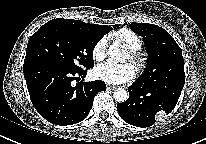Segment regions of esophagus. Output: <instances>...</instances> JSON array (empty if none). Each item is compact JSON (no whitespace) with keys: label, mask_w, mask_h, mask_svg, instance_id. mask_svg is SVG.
Masks as SVG:
<instances>
[{"label":"esophagus","mask_w":206,"mask_h":144,"mask_svg":"<svg viewBox=\"0 0 206 144\" xmlns=\"http://www.w3.org/2000/svg\"><path fill=\"white\" fill-rule=\"evenodd\" d=\"M107 89H108V90H115V89H116V87H115V86H113V85H107Z\"/></svg>","instance_id":"1"}]
</instances>
